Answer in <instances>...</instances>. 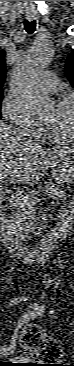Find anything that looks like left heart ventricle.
Segmentation results:
<instances>
[{
    "label": "left heart ventricle",
    "instance_id": "1",
    "mask_svg": "<svg viewBox=\"0 0 74 366\" xmlns=\"http://www.w3.org/2000/svg\"><path fill=\"white\" fill-rule=\"evenodd\" d=\"M41 123L62 138L72 137L74 134L69 107L51 106L43 114Z\"/></svg>",
    "mask_w": 74,
    "mask_h": 366
}]
</instances>
